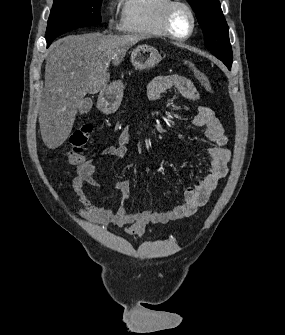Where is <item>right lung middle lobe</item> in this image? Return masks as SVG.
Returning a JSON list of instances; mask_svg holds the SVG:
<instances>
[{"label":"right lung middle lobe","instance_id":"right-lung-middle-lobe-1","mask_svg":"<svg viewBox=\"0 0 285 335\" xmlns=\"http://www.w3.org/2000/svg\"><path fill=\"white\" fill-rule=\"evenodd\" d=\"M102 0H54L46 31L47 44L70 30L101 23Z\"/></svg>","mask_w":285,"mask_h":335}]
</instances>
